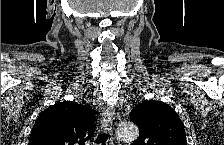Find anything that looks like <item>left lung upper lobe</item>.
I'll list each match as a JSON object with an SVG mask.
<instances>
[{"mask_svg":"<svg viewBox=\"0 0 224 145\" xmlns=\"http://www.w3.org/2000/svg\"><path fill=\"white\" fill-rule=\"evenodd\" d=\"M130 120L139 127L135 145H187L181 119L163 102L142 101L132 110Z\"/></svg>","mask_w":224,"mask_h":145,"instance_id":"1","label":"left lung upper lobe"}]
</instances>
